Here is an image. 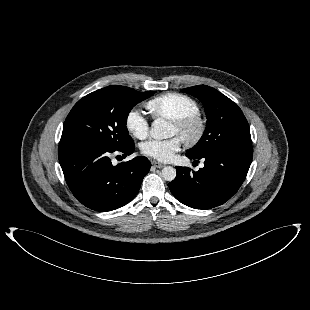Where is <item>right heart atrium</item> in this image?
<instances>
[{"label": "right heart atrium", "instance_id": "1", "mask_svg": "<svg viewBox=\"0 0 310 310\" xmlns=\"http://www.w3.org/2000/svg\"><path fill=\"white\" fill-rule=\"evenodd\" d=\"M125 126L128 132L138 139H144L149 133L148 119L137 108H133L126 116Z\"/></svg>", "mask_w": 310, "mask_h": 310}]
</instances>
